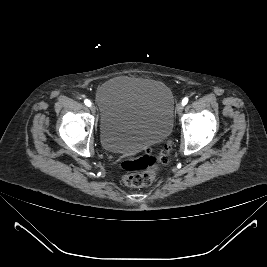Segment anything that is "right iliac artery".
Masks as SVG:
<instances>
[{"instance_id": "1", "label": "right iliac artery", "mask_w": 267, "mask_h": 267, "mask_svg": "<svg viewBox=\"0 0 267 267\" xmlns=\"http://www.w3.org/2000/svg\"><path fill=\"white\" fill-rule=\"evenodd\" d=\"M84 103H85L87 106H91V102H90L88 99H86V100L84 101Z\"/></svg>"}]
</instances>
